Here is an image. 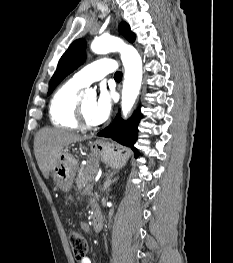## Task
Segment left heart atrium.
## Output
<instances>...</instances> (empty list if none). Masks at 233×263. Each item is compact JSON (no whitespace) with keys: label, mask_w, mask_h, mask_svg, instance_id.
Listing matches in <instances>:
<instances>
[{"label":"left heart atrium","mask_w":233,"mask_h":263,"mask_svg":"<svg viewBox=\"0 0 233 263\" xmlns=\"http://www.w3.org/2000/svg\"><path fill=\"white\" fill-rule=\"evenodd\" d=\"M112 109V93L102 87L91 111V122L94 125L103 123L110 115Z\"/></svg>","instance_id":"1"}]
</instances>
